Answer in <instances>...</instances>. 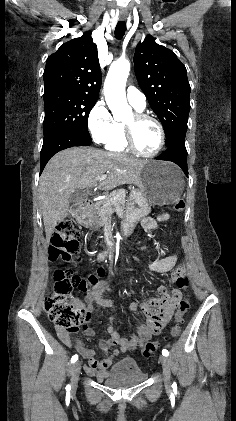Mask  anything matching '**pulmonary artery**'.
Segmentation results:
<instances>
[{"label":"pulmonary artery","mask_w":236,"mask_h":421,"mask_svg":"<svg viewBox=\"0 0 236 421\" xmlns=\"http://www.w3.org/2000/svg\"><path fill=\"white\" fill-rule=\"evenodd\" d=\"M127 99L137 110H144L146 108L145 96L134 87H129L127 89Z\"/></svg>","instance_id":"1"}]
</instances>
